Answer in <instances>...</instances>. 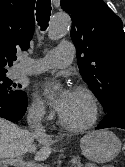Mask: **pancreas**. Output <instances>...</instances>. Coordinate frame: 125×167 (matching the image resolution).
<instances>
[{"instance_id": "1", "label": "pancreas", "mask_w": 125, "mask_h": 167, "mask_svg": "<svg viewBox=\"0 0 125 167\" xmlns=\"http://www.w3.org/2000/svg\"><path fill=\"white\" fill-rule=\"evenodd\" d=\"M74 160L76 161L74 164L76 165V167H82V164L80 162V159L77 157H74ZM106 167H112V166H106Z\"/></svg>"}]
</instances>
